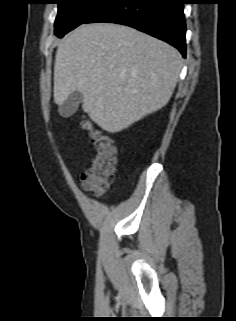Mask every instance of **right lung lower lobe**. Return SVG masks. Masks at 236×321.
Listing matches in <instances>:
<instances>
[{
  "mask_svg": "<svg viewBox=\"0 0 236 321\" xmlns=\"http://www.w3.org/2000/svg\"><path fill=\"white\" fill-rule=\"evenodd\" d=\"M183 0H109L84 23L123 24L161 39L186 55Z\"/></svg>",
  "mask_w": 236,
  "mask_h": 321,
  "instance_id": "right-lung-lower-lobe-1",
  "label": "right lung lower lobe"
}]
</instances>
